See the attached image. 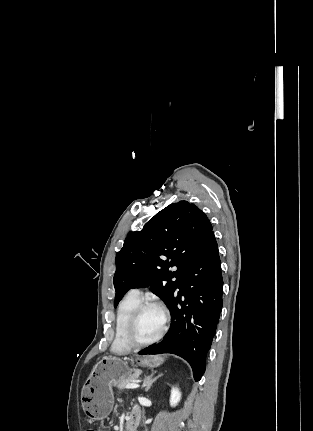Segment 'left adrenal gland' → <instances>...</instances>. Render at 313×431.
I'll list each match as a JSON object with an SVG mask.
<instances>
[{
  "mask_svg": "<svg viewBox=\"0 0 313 431\" xmlns=\"http://www.w3.org/2000/svg\"><path fill=\"white\" fill-rule=\"evenodd\" d=\"M156 372H153L150 376H148L146 379H145V381H144V383H143V387H145V392H147L149 389H150V387H151V385L159 378V377H161L163 374H159L158 376H156V377H154L153 378V376H154V374H155Z\"/></svg>",
  "mask_w": 313,
  "mask_h": 431,
  "instance_id": "left-adrenal-gland-1",
  "label": "left adrenal gland"
}]
</instances>
